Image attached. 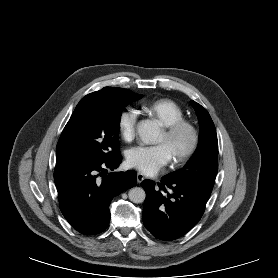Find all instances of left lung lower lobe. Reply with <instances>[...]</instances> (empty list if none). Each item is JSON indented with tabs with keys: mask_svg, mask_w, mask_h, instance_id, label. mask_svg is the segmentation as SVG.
Returning <instances> with one entry per match:
<instances>
[{
	"mask_svg": "<svg viewBox=\"0 0 278 278\" xmlns=\"http://www.w3.org/2000/svg\"><path fill=\"white\" fill-rule=\"evenodd\" d=\"M146 192L143 223L156 238L175 240L201 219L212 189L195 183L179 182L164 176L158 186L144 180Z\"/></svg>",
	"mask_w": 278,
	"mask_h": 278,
	"instance_id": "0a47b994",
	"label": "left lung lower lobe"
}]
</instances>
